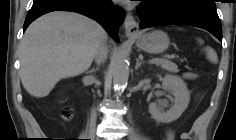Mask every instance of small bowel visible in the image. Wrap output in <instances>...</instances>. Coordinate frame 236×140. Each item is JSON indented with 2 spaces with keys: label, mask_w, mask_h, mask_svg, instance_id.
Returning a JSON list of instances; mask_svg holds the SVG:
<instances>
[{
  "label": "small bowel",
  "mask_w": 236,
  "mask_h": 140,
  "mask_svg": "<svg viewBox=\"0 0 236 140\" xmlns=\"http://www.w3.org/2000/svg\"><path fill=\"white\" fill-rule=\"evenodd\" d=\"M185 77L188 79H193L195 78V74L188 72L185 73ZM165 140H173V134L171 132H168Z\"/></svg>",
  "instance_id": "small-bowel-1"
}]
</instances>
